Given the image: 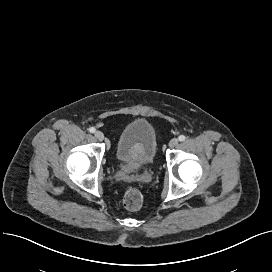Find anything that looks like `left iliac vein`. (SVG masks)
Returning <instances> with one entry per match:
<instances>
[{"label":"left iliac vein","mask_w":272,"mask_h":272,"mask_svg":"<svg viewBox=\"0 0 272 272\" xmlns=\"http://www.w3.org/2000/svg\"><path fill=\"white\" fill-rule=\"evenodd\" d=\"M178 142H179V141H178L177 138H172V139L170 140V142H169V147H170V148H173V147L177 146Z\"/></svg>","instance_id":"1"}]
</instances>
